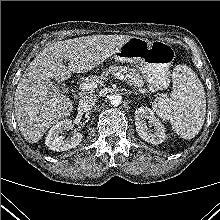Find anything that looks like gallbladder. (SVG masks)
<instances>
[{
  "mask_svg": "<svg viewBox=\"0 0 220 220\" xmlns=\"http://www.w3.org/2000/svg\"><path fill=\"white\" fill-rule=\"evenodd\" d=\"M57 87L59 88V90L61 92H65L66 91V87L64 85H58Z\"/></svg>",
  "mask_w": 220,
  "mask_h": 220,
  "instance_id": "bac80fb5",
  "label": "gallbladder"
}]
</instances>
